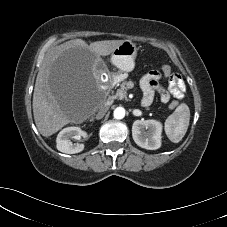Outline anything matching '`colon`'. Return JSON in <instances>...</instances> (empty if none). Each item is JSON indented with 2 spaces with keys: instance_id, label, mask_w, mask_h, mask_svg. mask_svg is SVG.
<instances>
[{
  "instance_id": "5ec220e1",
  "label": "colon",
  "mask_w": 227,
  "mask_h": 227,
  "mask_svg": "<svg viewBox=\"0 0 227 227\" xmlns=\"http://www.w3.org/2000/svg\"><path fill=\"white\" fill-rule=\"evenodd\" d=\"M162 71H163V73H164L166 76H170V75L172 74V69H171V67L168 66V65L162 66ZM177 104H178V103H177L176 101H173V102L170 103V107H171V108H175V107L177 106Z\"/></svg>"
}]
</instances>
